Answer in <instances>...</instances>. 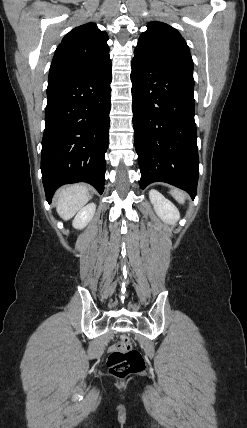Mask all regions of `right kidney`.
Segmentation results:
<instances>
[{
  "label": "right kidney",
  "mask_w": 247,
  "mask_h": 428,
  "mask_svg": "<svg viewBox=\"0 0 247 428\" xmlns=\"http://www.w3.org/2000/svg\"><path fill=\"white\" fill-rule=\"evenodd\" d=\"M96 205L94 203H90L83 207L75 216L73 220V227L75 229H83L86 225L91 221L95 214Z\"/></svg>",
  "instance_id": "obj_1"
}]
</instances>
